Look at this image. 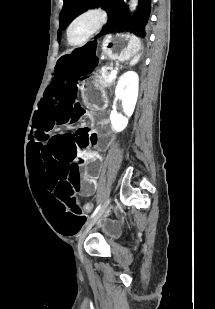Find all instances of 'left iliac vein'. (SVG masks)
Masks as SVG:
<instances>
[{
	"instance_id": "obj_1",
	"label": "left iliac vein",
	"mask_w": 215,
	"mask_h": 309,
	"mask_svg": "<svg viewBox=\"0 0 215 309\" xmlns=\"http://www.w3.org/2000/svg\"><path fill=\"white\" fill-rule=\"evenodd\" d=\"M109 202H110V200H108L106 202V206L101 213L95 215L92 220H90L89 222L86 223V225H85V227L82 231V235L80 236V238L78 240L77 253H78L79 256L83 255V242L85 240L86 235L90 232L91 228L95 225V223L98 222V220L101 218V216L107 211V206H108Z\"/></svg>"
}]
</instances>
